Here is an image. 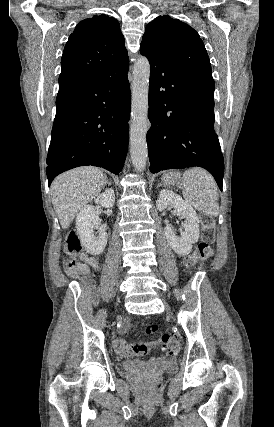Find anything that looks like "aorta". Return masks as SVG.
I'll use <instances>...</instances> for the list:
<instances>
[{
  "label": "aorta",
  "mask_w": 274,
  "mask_h": 427,
  "mask_svg": "<svg viewBox=\"0 0 274 427\" xmlns=\"http://www.w3.org/2000/svg\"><path fill=\"white\" fill-rule=\"evenodd\" d=\"M150 64L146 57H139L133 68L131 84L130 155L136 171H143L148 157L146 141L151 124L148 119Z\"/></svg>",
  "instance_id": "1"
}]
</instances>
